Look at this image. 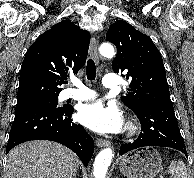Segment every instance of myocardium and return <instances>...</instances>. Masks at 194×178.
I'll use <instances>...</instances> for the list:
<instances>
[{
	"label": "myocardium",
	"mask_w": 194,
	"mask_h": 178,
	"mask_svg": "<svg viewBox=\"0 0 194 178\" xmlns=\"http://www.w3.org/2000/svg\"><path fill=\"white\" fill-rule=\"evenodd\" d=\"M126 128H127L128 135L129 136H133V135H135L137 133V131L139 129V125H138V123L135 120L130 119L127 122Z\"/></svg>",
	"instance_id": "obj_1"
}]
</instances>
